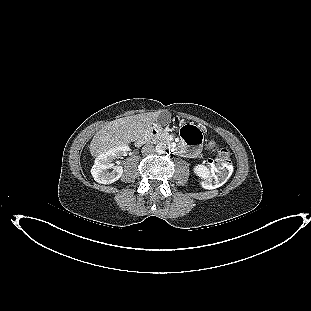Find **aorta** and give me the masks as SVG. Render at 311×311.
I'll use <instances>...</instances> for the list:
<instances>
[{
  "mask_svg": "<svg viewBox=\"0 0 311 311\" xmlns=\"http://www.w3.org/2000/svg\"><path fill=\"white\" fill-rule=\"evenodd\" d=\"M155 151L158 153V154H163L165 153L166 151V144L165 143H158L156 146H155Z\"/></svg>",
  "mask_w": 311,
  "mask_h": 311,
  "instance_id": "aorta-1",
  "label": "aorta"
}]
</instances>
